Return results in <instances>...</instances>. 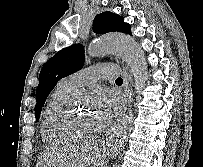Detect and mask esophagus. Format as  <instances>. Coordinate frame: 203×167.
Wrapping results in <instances>:
<instances>
[{"label": "esophagus", "mask_w": 203, "mask_h": 167, "mask_svg": "<svg viewBox=\"0 0 203 167\" xmlns=\"http://www.w3.org/2000/svg\"><path fill=\"white\" fill-rule=\"evenodd\" d=\"M130 81H131V75L127 71V67L125 66V64H123V91L125 96V106L121 112V115L126 110V106L129 101V97L131 95ZM101 145H102V142H100V146Z\"/></svg>", "instance_id": "1"}]
</instances>
